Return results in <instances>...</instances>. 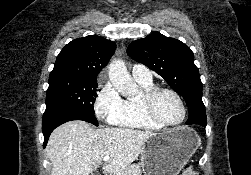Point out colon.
I'll return each instance as SVG.
<instances>
[{
    "instance_id": "obj_1",
    "label": "colon",
    "mask_w": 251,
    "mask_h": 175,
    "mask_svg": "<svg viewBox=\"0 0 251 175\" xmlns=\"http://www.w3.org/2000/svg\"><path fill=\"white\" fill-rule=\"evenodd\" d=\"M181 175H199V173L191 166H185Z\"/></svg>"
}]
</instances>
